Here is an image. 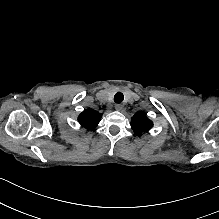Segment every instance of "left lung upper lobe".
I'll use <instances>...</instances> for the list:
<instances>
[{"label": "left lung upper lobe", "mask_w": 219, "mask_h": 219, "mask_svg": "<svg viewBox=\"0 0 219 219\" xmlns=\"http://www.w3.org/2000/svg\"><path fill=\"white\" fill-rule=\"evenodd\" d=\"M131 127L136 135H141L148 132L153 127V123L147 118L146 113L140 111L132 117Z\"/></svg>", "instance_id": "left-lung-upper-lobe-1"}]
</instances>
